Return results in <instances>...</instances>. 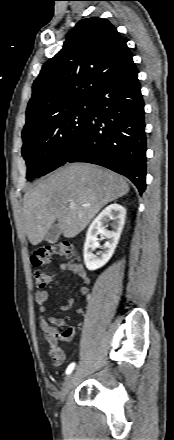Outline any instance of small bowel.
<instances>
[{
    "label": "small bowel",
    "instance_id": "small-bowel-1",
    "mask_svg": "<svg viewBox=\"0 0 174 440\" xmlns=\"http://www.w3.org/2000/svg\"><path fill=\"white\" fill-rule=\"evenodd\" d=\"M60 269L63 272H71L73 275L77 276L81 282L82 286L80 288V292L82 295H85L88 291V286L90 284V278L88 277L86 271L83 266L76 262H62L60 264ZM60 281H56L54 285H58ZM49 294L45 289L37 290L35 293V301L38 305V315L40 318V326L42 328L43 334L48 342V353L53 359V363L55 366H60L65 361V355L63 351L58 347V342L55 337V330L52 329L47 321L46 314L47 308L45 306L46 301L48 300ZM75 303L74 298H70L66 304L59 305L58 309L60 311H67L73 307ZM78 314L83 312L82 308H78L76 310ZM51 320H55V317H51Z\"/></svg>",
    "mask_w": 174,
    "mask_h": 440
}]
</instances>
